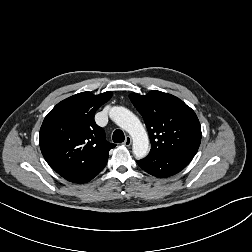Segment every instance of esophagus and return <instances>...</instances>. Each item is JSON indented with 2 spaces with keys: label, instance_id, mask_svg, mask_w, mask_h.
Wrapping results in <instances>:
<instances>
[{
  "label": "esophagus",
  "instance_id": "34e87169",
  "mask_svg": "<svg viewBox=\"0 0 252 252\" xmlns=\"http://www.w3.org/2000/svg\"><path fill=\"white\" fill-rule=\"evenodd\" d=\"M132 144V138L130 136H127L125 141L123 142V145L130 146Z\"/></svg>",
  "mask_w": 252,
  "mask_h": 252
}]
</instances>
